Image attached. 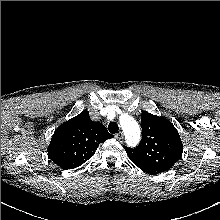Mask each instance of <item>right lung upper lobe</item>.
I'll list each match as a JSON object with an SVG mask.
<instances>
[{
    "mask_svg": "<svg viewBox=\"0 0 220 220\" xmlns=\"http://www.w3.org/2000/svg\"><path fill=\"white\" fill-rule=\"evenodd\" d=\"M104 125L84 111L61 124L54 132L48 156L64 169H73L90 159L100 143L112 138Z\"/></svg>",
    "mask_w": 220,
    "mask_h": 220,
    "instance_id": "cb5924a9",
    "label": "right lung upper lobe"
}]
</instances>
